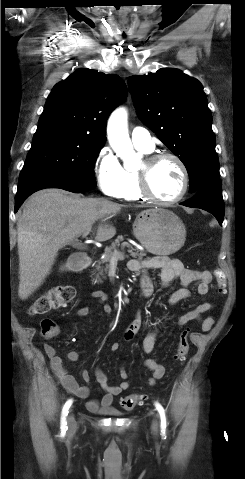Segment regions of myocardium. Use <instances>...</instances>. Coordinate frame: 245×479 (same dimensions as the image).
Instances as JSON below:
<instances>
[{"label": "myocardium", "mask_w": 245, "mask_h": 479, "mask_svg": "<svg viewBox=\"0 0 245 479\" xmlns=\"http://www.w3.org/2000/svg\"><path fill=\"white\" fill-rule=\"evenodd\" d=\"M164 159L173 160L179 166L181 174H182L181 190L176 197L170 200L160 199L158 196L155 195V193L152 191L150 186V174L154 166L158 162ZM137 173H138V188L141 195L144 197V199L158 205L169 206V205L178 203L184 198V196L186 195L189 189L190 177H189L187 166L178 155L172 152H158V153L149 155L145 159L142 167L137 171Z\"/></svg>", "instance_id": "1"}]
</instances>
